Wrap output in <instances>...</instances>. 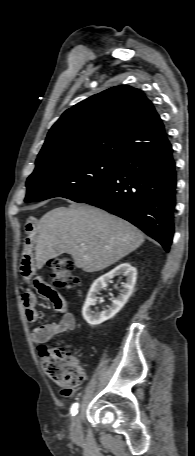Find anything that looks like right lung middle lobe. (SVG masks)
Returning <instances> with one entry per match:
<instances>
[{
  "label": "right lung middle lobe",
  "mask_w": 195,
  "mask_h": 456,
  "mask_svg": "<svg viewBox=\"0 0 195 456\" xmlns=\"http://www.w3.org/2000/svg\"><path fill=\"white\" fill-rule=\"evenodd\" d=\"M120 162L101 158H61L36 165L26 182L25 202L53 197L75 199L101 185Z\"/></svg>",
  "instance_id": "obj_1"
}]
</instances>
